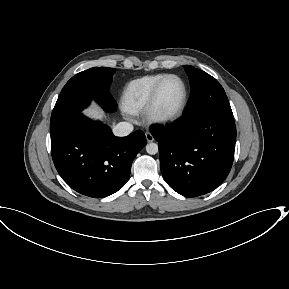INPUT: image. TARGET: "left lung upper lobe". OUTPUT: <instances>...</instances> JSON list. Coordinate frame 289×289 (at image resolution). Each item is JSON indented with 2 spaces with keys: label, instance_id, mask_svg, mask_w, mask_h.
Listing matches in <instances>:
<instances>
[{
  "label": "left lung upper lobe",
  "instance_id": "obj_1",
  "mask_svg": "<svg viewBox=\"0 0 289 289\" xmlns=\"http://www.w3.org/2000/svg\"><path fill=\"white\" fill-rule=\"evenodd\" d=\"M184 67L192 88L184 116L205 110L233 114L226 93L215 78L192 66L185 65Z\"/></svg>",
  "mask_w": 289,
  "mask_h": 289
}]
</instances>
